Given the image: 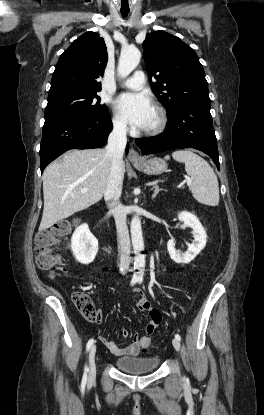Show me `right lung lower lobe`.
<instances>
[{
	"label": "right lung lower lobe",
	"mask_w": 264,
	"mask_h": 415,
	"mask_svg": "<svg viewBox=\"0 0 264 415\" xmlns=\"http://www.w3.org/2000/svg\"><path fill=\"white\" fill-rule=\"evenodd\" d=\"M112 128L109 113L45 120L40 146L41 173L50 162L67 150L103 146ZM126 151L128 152V145Z\"/></svg>",
	"instance_id": "98d812e1"
}]
</instances>
